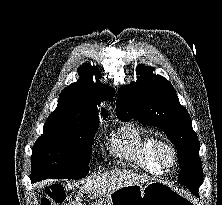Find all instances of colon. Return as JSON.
<instances>
[{
    "instance_id": "5ec220e1",
    "label": "colon",
    "mask_w": 222,
    "mask_h": 205,
    "mask_svg": "<svg viewBox=\"0 0 222 205\" xmlns=\"http://www.w3.org/2000/svg\"><path fill=\"white\" fill-rule=\"evenodd\" d=\"M65 194L62 186L51 185L42 197L41 205H64Z\"/></svg>"
}]
</instances>
